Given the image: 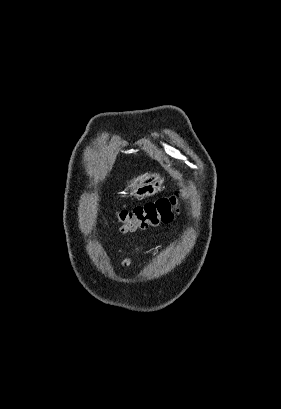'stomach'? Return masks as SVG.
Listing matches in <instances>:
<instances>
[{
	"label": "stomach",
	"instance_id": "0dacf381",
	"mask_svg": "<svg viewBox=\"0 0 281 409\" xmlns=\"http://www.w3.org/2000/svg\"><path fill=\"white\" fill-rule=\"evenodd\" d=\"M164 184V178H161L158 172H145L139 176H133L127 182V190L129 194L137 196V198H144V196H153L159 192Z\"/></svg>",
	"mask_w": 281,
	"mask_h": 409
}]
</instances>
